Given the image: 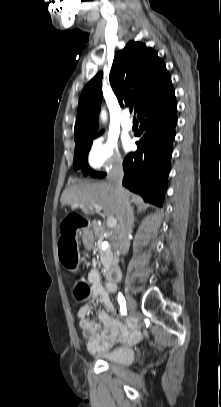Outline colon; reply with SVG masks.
I'll use <instances>...</instances> for the list:
<instances>
[{
    "label": "colon",
    "instance_id": "obj_1",
    "mask_svg": "<svg viewBox=\"0 0 221 407\" xmlns=\"http://www.w3.org/2000/svg\"><path fill=\"white\" fill-rule=\"evenodd\" d=\"M78 212L72 211L71 216H62L61 218V242L60 257L62 264L71 271L77 267V249L75 239H79V229H84L86 218L78 220ZM90 291V287L83 280H78L75 285V295L79 298H85Z\"/></svg>",
    "mask_w": 221,
    "mask_h": 407
}]
</instances>
